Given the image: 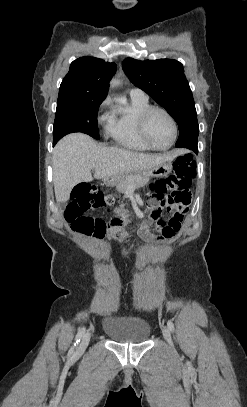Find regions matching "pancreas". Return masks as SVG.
I'll return each instance as SVG.
<instances>
[{
	"label": "pancreas",
	"instance_id": "pancreas-1",
	"mask_svg": "<svg viewBox=\"0 0 247 407\" xmlns=\"http://www.w3.org/2000/svg\"><path fill=\"white\" fill-rule=\"evenodd\" d=\"M149 182V178L143 175L126 176L116 187L118 192L126 193L129 188L144 186Z\"/></svg>",
	"mask_w": 247,
	"mask_h": 407
}]
</instances>
